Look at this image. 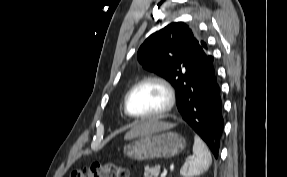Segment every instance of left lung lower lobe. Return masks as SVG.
I'll use <instances>...</instances> for the list:
<instances>
[{
	"instance_id": "obj_1",
	"label": "left lung lower lobe",
	"mask_w": 287,
	"mask_h": 177,
	"mask_svg": "<svg viewBox=\"0 0 287 177\" xmlns=\"http://www.w3.org/2000/svg\"><path fill=\"white\" fill-rule=\"evenodd\" d=\"M213 56L183 91L177 104L183 120L206 142L218 158L223 131L220 88L216 79Z\"/></svg>"
}]
</instances>
